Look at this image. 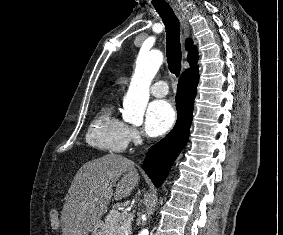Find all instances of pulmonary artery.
Masks as SVG:
<instances>
[{"instance_id": "obj_1", "label": "pulmonary artery", "mask_w": 283, "mask_h": 235, "mask_svg": "<svg viewBox=\"0 0 283 235\" xmlns=\"http://www.w3.org/2000/svg\"><path fill=\"white\" fill-rule=\"evenodd\" d=\"M150 93L155 97H164L168 94V86L165 81H157L150 87Z\"/></svg>"}]
</instances>
